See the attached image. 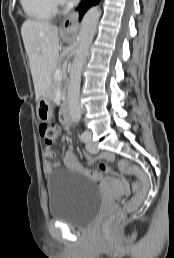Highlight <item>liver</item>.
<instances>
[{"instance_id":"6515ba94","label":"liver","mask_w":174,"mask_h":258,"mask_svg":"<svg viewBox=\"0 0 174 258\" xmlns=\"http://www.w3.org/2000/svg\"><path fill=\"white\" fill-rule=\"evenodd\" d=\"M29 58L36 101L50 88L59 56L58 28L50 23L26 20L21 28Z\"/></svg>"}]
</instances>
